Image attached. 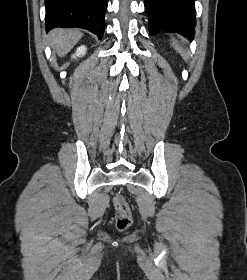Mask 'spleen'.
Segmentation results:
<instances>
[{"mask_svg": "<svg viewBox=\"0 0 247 280\" xmlns=\"http://www.w3.org/2000/svg\"><path fill=\"white\" fill-rule=\"evenodd\" d=\"M175 50H176L177 52H179V53H182V49H181V47H180L179 45H176V46H175Z\"/></svg>", "mask_w": 247, "mask_h": 280, "instance_id": "obj_1", "label": "spleen"}]
</instances>
